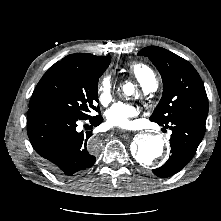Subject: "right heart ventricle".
Wrapping results in <instances>:
<instances>
[{"mask_svg": "<svg viewBox=\"0 0 221 221\" xmlns=\"http://www.w3.org/2000/svg\"><path fill=\"white\" fill-rule=\"evenodd\" d=\"M127 68L130 74L146 88L156 79L153 71L142 62H133L129 64Z\"/></svg>", "mask_w": 221, "mask_h": 221, "instance_id": "right-heart-ventricle-1", "label": "right heart ventricle"}]
</instances>
